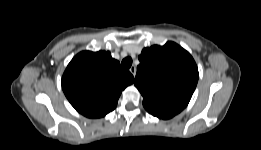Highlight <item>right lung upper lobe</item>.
<instances>
[{
	"label": "right lung upper lobe",
	"mask_w": 261,
	"mask_h": 150,
	"mask_svg": "<svg viewBox=\"0 0 261 150\" xmlns=\"http://www.w3.org/2000/svg\"><path fill=\"white\" fill-rule=\"evenodd\" d=\"M133 81V75L110 52L83 51L68 64L62 89L79 113L99 118L115 109L122 90Z\"/></svg>",
	"instance_id": "obj_1"
}]
</instances>
